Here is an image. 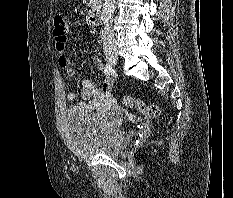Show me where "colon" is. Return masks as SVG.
<instances>
[{
    "label": "colon",
    "instance_id": "colon-1",
    "mask_svg": "<svg viewBox=\"0 0 233 198\" xmlns=\"http://www.w3.org/2000/svg\"><path fill=\"white\" fill-rule=\"evenodd\" d=\"M68 31L67 24L65 20L57 16L54 18V29L53 34L56 38L66 37ZM123 104L128 108H135L140 113L146 115L147 117L155 118L160 114V109L156 105H148L132 96L126 95L123 97Z\"/></svg>",
    "mask_w": 233,
    "mask_h": 198
}]
</instances>
